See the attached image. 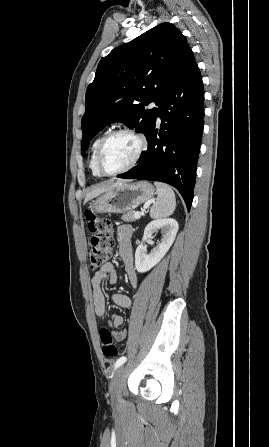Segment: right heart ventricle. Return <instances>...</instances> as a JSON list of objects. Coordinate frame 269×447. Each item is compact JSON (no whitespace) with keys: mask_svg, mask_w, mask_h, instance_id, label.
<instances>
[{"mask_svg":"<svg viewBox=\"0 0 269 447\" xmlns=\"http://www.w3.org/2000/svg\"><path fill=\"white\" fill-rule=\"evenodd\" d=\"M104 135H105V133H101L100 135H98L94 139L92 146H91V155H90L89 166H90V169H91L93 175L97 176V177L103 176V174L100 172V170L97 166L96 159H97V150H98L99 144H100Z\"/></svg>","mask_w":269,"mask_h":447,"instance_id":"right-heart-ventricle-1","label":"right heart ventricle"}]
</instances>
